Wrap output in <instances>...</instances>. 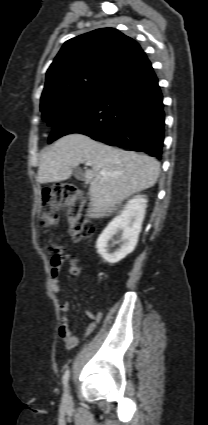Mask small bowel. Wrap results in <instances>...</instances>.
Returning <instances> with one entry per match:
<instances>
[{"instance_id": "c3829d8e", "label": "small bowel", "mask_w": 208, "mask_h": 425, "mask_svg": "<svg viewBox=\"0 0 208 425\" xmlns=\"http://www.w3.org/2000/svg\"><path fill=\"white\" fill-rule=\"evenodd\" d=\"M64 256H65L66 259L70 257L68 254H65ZM59 267H53L52 275H51L50 284H51V289L54 293L59 292V283H60ZM58 308H59V311H60V323H59V326H58V334H59L61 340L65 343L66 347L69 348V349H72L79 344L81 337L72 334V332L70 330L69 323H68V320H67V317H66V313L69 309V304L64 300H58ZM87 316L90 318L91 321L87 325V327L84 331V335H88L94 330L96 324L102 318V313L101 312H97V313L88 312Z\"/></svg>"}]
</instances>
